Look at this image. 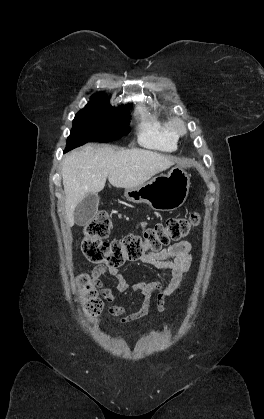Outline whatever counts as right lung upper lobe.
<instances>
[{"label":"right lung upper lobe","mask_w":264,"mask_h":419,"mask_svg":"<svg viewBox=\"0 0 264 419\" xmlns=\"http://www.w3.org/2000/svg\"><path fill=\"white\" fill-rule=\"evenodd\" d=\"M93 96H103V97H107L104 93H97V94H95V95H93Z\"/></svg>","instance_id":"right-lung-upper-lobe-1"}]
</instances>
